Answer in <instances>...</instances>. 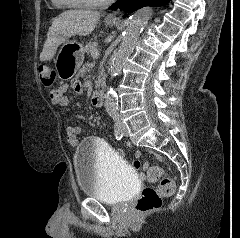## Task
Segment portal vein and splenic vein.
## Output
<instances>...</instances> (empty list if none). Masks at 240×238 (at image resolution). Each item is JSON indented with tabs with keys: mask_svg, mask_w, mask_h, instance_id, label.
I'll use <instances>...</instances> for the list:
<instances>
[{
	"mask_svg": "<svg viewBox=\"0 0 240 238\" xmlns=\"http://www.w3.org/2000/svg\"><path fill=\"white\" fill-rule=\"evenodd\" d=\"M92 56H93V58L97 59L99 57V52L93 51Z\"/></svg>",
	"mask_w": 240,
	"mask_h": 238,
	"instance_id": "18ae733b",
	"label": "portal vein and splenic vein"
}]
</instances>
